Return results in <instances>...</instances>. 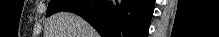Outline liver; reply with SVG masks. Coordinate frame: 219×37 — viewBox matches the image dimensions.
I'll use <instances>...</instances> for the list:
<instances>
[{"label": "liver", "mask_w": 219, "mask_h": 37, "mask_svg": "<svg viewBox=\"0 0 219 37\" xmlns=\"http://www.w3.org/2000/svg\"><path fill=\"white\" fill-rule=\"evenodd\" d=\"M46 35V37H98L84 19L65 11L49 18Z\"/></svg>", "instance_id": "6515ba94"}]
</instances>
